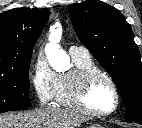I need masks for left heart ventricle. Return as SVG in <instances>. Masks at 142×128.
I'll list each match as a JSON object with an SVG mask.
<instances>
[{
    "instance_id": "b2bd125f",
    "label": "left heart ventricle",
    "mask_w": 142,
    "mask_h": 128,
    "mask_svg": "<svg viewBox=\"0 0 142 128\" xmlns=\"http://www.w3.org/2000/svg\"><path fill=\"white\" fill-rule=\"evenodd\" d=\"M88 105L100 112L109 111L114 107L115 96L109 83L102 78L97 79L87 95Z\"/></svg>"
}]
</instances>
